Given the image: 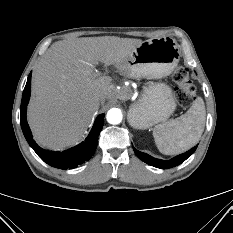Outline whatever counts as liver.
<instances>
[{"label":"liver","instance_id":"6515ba94","mask_svg":"<svg viewBox=\"0 0 233 233\" xmlns=\"http://www.w3.org/2000/svg\"><path fill=\"white\" fill-rule=\"evenodd\" d=\"M142 42L102 36L53 43L32 77L27 118L37 143L57 150L77 143L111 91L112 79L94 76V64L120 63Z\"/></svg>","mask_w":233,"mask_h":233}]
</instances>
